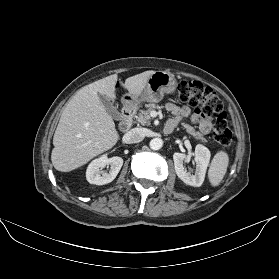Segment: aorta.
Wrapping results in <instances>:
<instances>
[{"label":"aorta","instance_id":"1","mask_svg":"<svg viewBox=\"0 0 279 279\" xmlns=\"http://www.w3.org/2000/svg\"><path fill=\"white\" fill-rule=\"evenodd\" d=\"M149 146L152 150H159L163 146V140L161 138H153L150 141Z\"/></svg>","mask_w":279,"mask_h":279}]
</instances>
